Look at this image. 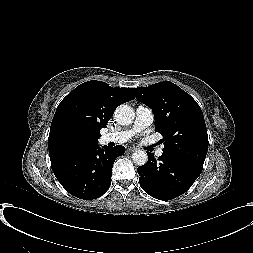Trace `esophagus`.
<instances>
[{"label":"esophagus","instance_id":"esophagus-1","mask_svg":"<svg viewBox=\"0 0 253 253\" xmlns=\"http://www.w3.org/2000/svg\"><path fill=\"white\" fill-rule=\"evenodd\" d=\"M136 150H137V148H135V147H128L127 148V151H129V152H134Z\"/></svg>","mask_w":253,"mask_h":253}]
</instances>
